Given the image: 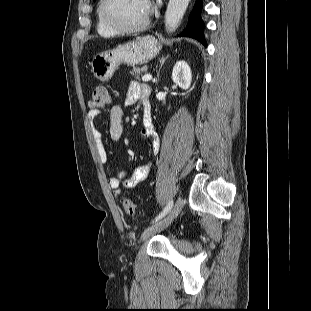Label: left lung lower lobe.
I'll list each match as a JSON object with an SVG mask.
<instances>
[{
  "mask_svg": "<svg viewBox=\"0 0 311 311\" xmlns=\"http://www.w3.org/2000/svg\"><path fill=\"white\" fill-rule=\"evenodd\" d=\"M201 7L202 3L198 0L189 16L188 25L181 33V36L192 37L206 46V41L203 35L204 23L200 16Z\"/></svg>",
  "mask_w": 311,
  "mask_h": 311,
  "instance_id": "obj_1",
  "label": "left lung lower lobe"
}]
</instances>
